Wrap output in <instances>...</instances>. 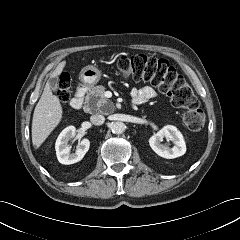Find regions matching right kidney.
Wrapping results in <instances>:
<instances>
[{
	"label": "right kidney",
	"mask_w": 240,
	"mask_h": 240,
	"mask_svg": "<svg viewBox=\"0 0 240 240\" xmlns=\"http://www.w3.org/2000/svg\"><path fill=\"white\" fill-rule=\"evenodd\" d=\"M75 131L74 126H68L59 134L56 140V155L61 164L69 165L79 162L89 150L90 141L84 138L79 143L75 153H70L71 147L68 145V141L75 136Z\"/></svg>",
	"instance_id": "right-kidney-1"
}]
</instances>
